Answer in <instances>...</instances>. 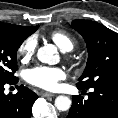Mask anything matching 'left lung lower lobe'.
Returning a JSON list of instances; mask_svg holds the SVG:
<instances>
[{
    "label": "left lung lower lobe",
    "mask_w": 118,
    "mask_h": 118,
    "mask_svg": "<svg viewBox=\"0 0 118 118\" xmlns=\"http://www.w3.org/2000/svg\"><path fill=\"white\" fill-rule=\"evenodd\" d=\"M67 118H118V85L93 87L87 100L73 96Z\"/></svg>",
    "instance_id": "left-lung-lower-lobe-1"
}]
</instances>
